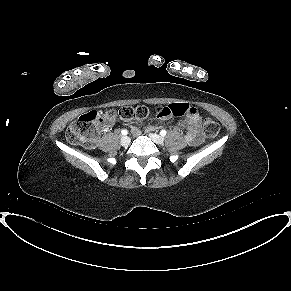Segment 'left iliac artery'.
Listing matches in <instances>:
<instances>
[{
	"mask_svg": "<svg viewBox=\"0 0 291 291\" xmlns=\"http://www.w3.org/2000/svg\"><path fill=\"white\" fill-rule=\"evenodd\" d=\"M166 133H167V132H166V130H164V129L160 131V135H161V136H165Z\"/></svg>",
	"mask_w": 291,
	"mask_h": 291,
	"instance_id": "44dca946",
	"label": "left iliac artery"
}]
</instances>
